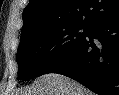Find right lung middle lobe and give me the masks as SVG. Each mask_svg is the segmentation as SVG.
<instances>
[{
  "label": "right lung middle lobe",
  "instance_id": "obj_1",
  "mask_svg": "<svg viewBox=\"0 0 119 95\" xmlns=\"http://www.w3.org/2000/svg\"><path fill=\"white\" fill-rule=\"evenodd\" d=\"M89 28L81 24L45 25L21 37L17 51L18 79L29 80L45 74L85 38Z\"/></svg>",
  "mask_w": 119,
  "mask_h": 95
}]
</instances>
